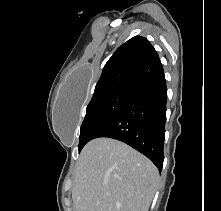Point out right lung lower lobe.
<instances>
[{
    "label": "right lung lower lobe",
    "instance_id": "1",
    "mask_svg": "<svg viewBox=\"0 0 221 211\" xmlns=\"http://www.w3.org/2000/svg\"><path fill=\"white\" fill-rule=\"evenodd\" d=\"M165 77L137 87L118 113L94 136L120 140L147 156L161 172L165 138ZM93 138V139H94Z\"/></svg>",
    "mask_w": 221,
    "mask_h": 211
}]
</instances>
